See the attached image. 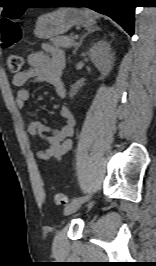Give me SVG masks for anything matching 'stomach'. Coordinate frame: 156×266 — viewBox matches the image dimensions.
I'll use <instances>...</instances> for the list:
<instances>
[{
  "label": "stomach",
  "instance_id": "obj_1",
  "mask_svg": "<svg viewBox=\"0 0 156 266\" xmlns=\"http://www.w3.org/2000/svg\"><path fill=\"white\" fill-rule=\"evenodd\" d=\"M96 23L94 14L87 9L63 7L38 18L35 35L40 39H51L66 33L72 26H91Z\"/></svg>",
  "mask_w": 156,
  "mask_h": 266
}]
</instances>
